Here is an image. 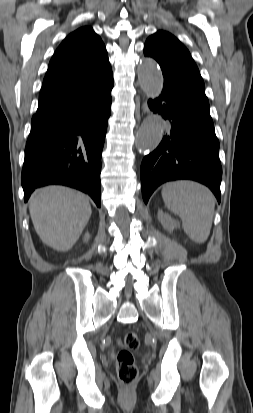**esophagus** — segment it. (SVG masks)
I'll use <instances>...</instances> for the list:
<instances>
[{
  "mask_svg": "<svg viewBox=\"0 0 253 413\" xmlns=\"http://www.w3.org/2000/svg\"><path fill=\"white\" fill-rule=\"evenodd\" d=\"M142 110L144 113L148 112V108L145 103L142 105Z\"/></svg>",
  "mask_w": 253,
  "mask_h": 413,
  "instance_id": "34e87169",
  "label": "esophagus"
}]
</instances>
